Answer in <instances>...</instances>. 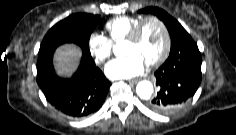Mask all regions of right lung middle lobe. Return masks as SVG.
<instances>
[{
  "label": "right lung middle lobe",
  "mask_w": 236,
  "mask_h": 135,
  "mask_svg": "<svg viewBox=\"0 0 236 135\" xmlns=\"http://www.w3.org/2000/svg\"><path fill=\"white\" fill-rule=\"evenodd\" d=\"M99 20L98 15L76 13L58 22L45 35L39 49V57L53 54L55 49L64 43H75L83 52L90 54V35Z\"/></svg>",
  "instance_id": "1"
}]
</instances>
